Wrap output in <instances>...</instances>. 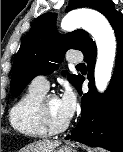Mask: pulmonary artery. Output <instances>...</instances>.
<instances>
[{
	"instance_id": "pulmonary-artery-1",
	"label": "pulmonary artery",
	"mask_w": 123,
	"mask_h": 152,
	"mask_svg": "<svg viewBox=\"0 0 123 152\" xmlns=\"http://www.w3.org/2000/svg\"><path fill=\"white\" fill-rule=\"evenodd\" d=\"M67 59L70 63H80L83 57L79 53H71ZM31 86L41 89L43 91H47V89L49 88V81L46 76L39 75L32 80Z\"/></svg>"
}]
</instances>
